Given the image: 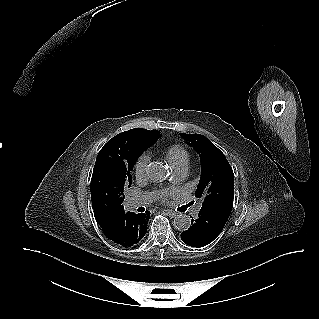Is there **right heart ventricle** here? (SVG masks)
I'll list each match as a JSON object with an SVG mask.
<instances>
[{
	"label": "right heart ventricle",
	"mask_w": 319,
	"mask_h": 319,
	"mask_svg": "<svg viewBox=\"0 0 319 319\" xmlns=\"http://www.w3.org/2000/svg\"><path fill=\"white\" fill-rule=\"evenodd\" d=\"M166 159L176 169L181 165H188L189 153L180 145H172L166 150Z\"/></svg>",
	"instance_id": "e07e8e85"
}]
</instances>
